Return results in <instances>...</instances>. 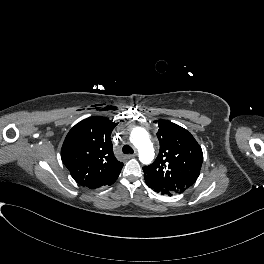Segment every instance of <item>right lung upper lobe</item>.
<instances>
[{"label":"right lung upper lobe","mask_w":264,"mask_h":264,"mask_svg":"<svg viewBox=\"0 0 264 264\" xmlns=\"http://www.w3.org/2000/svg\"><path fill=\"white\" fill-rule=\"evenodd\" d=\"M117 124L106 117H89L67 134L61 158L80 185L99 188L119 175L123 163L115 158L110 139Z\"/></svg>","instance_id":"obj_1"}]
</instances>
